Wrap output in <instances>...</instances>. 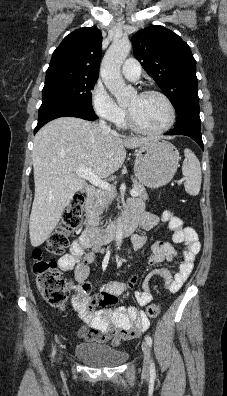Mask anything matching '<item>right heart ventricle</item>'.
<instances>
[{
    "mask_svg": "<svg viewBox=\"0 0 227 396\" xmlns=\"http://www.w3.org/2000/svg\"><path fill=\"white\" fill-rule=\"evenodd\" d=\"M118 125L121 126V127H126V126H127V123H126L125 118H123V119L118 123Z\"/></svg>",
    "mask_w": 227,
    "mask_h": 396,
    "instance_id": "1",
    "label": "right heart ventricle"
}]
</instances>
